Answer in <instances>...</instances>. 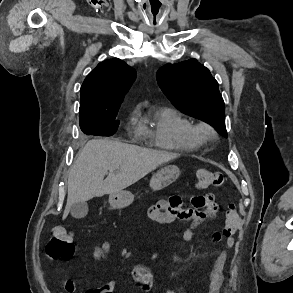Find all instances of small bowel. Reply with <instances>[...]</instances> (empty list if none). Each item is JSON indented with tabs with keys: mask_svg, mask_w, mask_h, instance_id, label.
I'll use <instances>...</instances> for the list:
<instances>
[{
	"mask_svg": "<svg viewBox=\"0 0 293 293\" xmlns=\"http://www.w3.org/2000/svg\"><path fill=\"white\" fill-rule=\"evenodd\" d=\"M193 209H185L182 206V199L178 195H172L168 199L156 202L148 209V217L159 224H169L175 221L188 222L189 226L183 231L182 239L189 243L195 230L207 219L213 218L218 209L216 197L213 193L199 194L192 198ZM214 241L224 240L227 249H232L235 245L233 235L221 234L219 231L212 233ZM112 245L108 241L102 242L92 250V257L96 260L105 259L111 252ZM227 261L226 251H222L210 271L209 283L204 293H218L223 283V271ZM133 280L143 291H149L154 283V275L145 265H136L132 270ZM117 280L111 279L101 287L86 290L85 293H115ZM66 293H76L77 285L73 281L65 283ZM165 293H178L177 290L168 289Z\"/></svg>",
	"mask_w": 293,
	"mask_h": 293,
	"instance_id": "1",
	"label": "small bowel"
}]
</instances>
